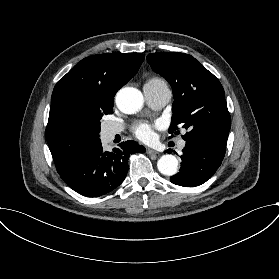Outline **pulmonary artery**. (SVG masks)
<instances>
[{
	"instance_id": "pulmonary-artery-1",
	"label": "pulmonary artery",
	"mask_w": 279,
	"mask_h": 279,
	"mask_svg": "<svg viewBox=\"0 0 279 279\" xmlns=\"http://www.w3.org/2000/svg\"><path fill=\"white\" fill-rule=\"evenodd\" d=\"M143 93L148 105L154 109H159L168 103L171 99L172 93L163 79L152 82H147L143 86ZM124 130V126L118 123H110L105 125L104 132L107 136L113 137L120 134ZM185 146L184 142L180 143V148Z\"/></svg>"
}]
</instances>
